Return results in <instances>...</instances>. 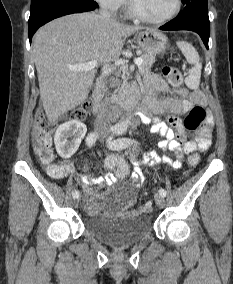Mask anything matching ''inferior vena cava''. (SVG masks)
I'll return each instance as SVG.
<instances>
[{
	"label": "inferior vena cava",
	"instance_id": "1",
	"mask_svg": "<svg viewBox=\"0 0 233 284\" xmlns=\"http://www.w3.org/2000/svg\"><path fill=\"white\" fill-rule=\"evenodd\" d=\"M100 16L110 20L112 22H116V20L112 17L111 13L108 11V9L106 7H102L99 10ZM103 74L104 75H108L109 74V70L107 65L104 66L103 68ZM105 106H103L101 108V111L98 113L96 120H95V128L98 131H102L105 132L108 130V128L110 127L111 123H110V119H109V111L107 108V103H108V98H105Z\"/></svg>",
	"mask_w": 233,
	"mask_h": 284
}]
</instances>
